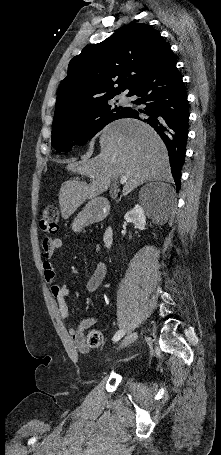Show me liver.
<instances>
[{
  "label": "liver",
  "instance_id": "obj_1",
  "mask_svg": "<svg viewBox=\"0 0 221 455\" xmlns=\"http://www.w3.org/2000/svg\"><path fill=\"white\" fill-rule=\"evenodd\" d=\"M100 153L87 161L68 163L67 170L94 176L90 184L69 179L59 191L61 215L68 219L87 199L108 190L113 179L127 176L123 195L149 181H170L167 149L146 123L136 119H120L110 123L100 136Z\"/></svg>",
  "mask_w": 221,
  "mask_h": 455
}]
</instances>
